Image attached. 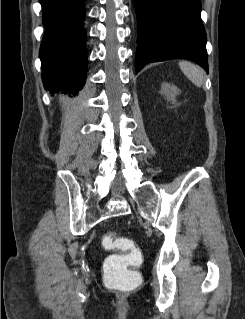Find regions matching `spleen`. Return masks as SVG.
I'll list each match as a JSON object with an SVG mask.
<instances>
[{
    "instance_id": "obj_1",
    "label": "spleen",
    "mask_w": 245,
    "mask_h": 319,
    "mask_svg": "<svg viewBox=\"0 0 245 319\" xmlns=\"http://www.w3.org/2000/svg\"><path fill=\"white\" fill-rule=\"evenodd\" d=\"M180 69L186 75V77L194 83L197 87H201L203 84V70L189 61L179 62Z\"/></svg>"
}]
</instances>
